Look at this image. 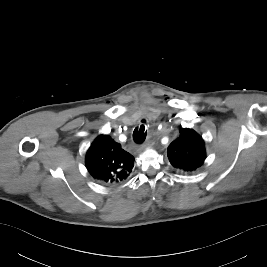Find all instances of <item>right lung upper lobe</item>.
I'll list each match as a JSON object with an SVG mask.
<instances>
[{"label": "right lung upper lobe", "instance_id": "right-lung-upper-lobe-1", "mask_svg": "<svg viewBox=\"0 0 267 267\" xmlns=\"http://www.w3.org/2000/svg\"><path fill=\"white\" fill-rule=\"evenodd\" d=\"M134 167V157L109 135H100L86 155V168L94 179L108 185L123 182Z\"/></svg>", "mask_w": 267, "mask_h": 267}]
</instances>
